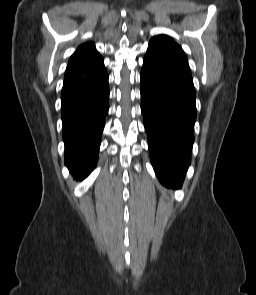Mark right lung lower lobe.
I'll return each instance as SVG.
<instances>
[{
	"instance_id": "98d812e1",
	"label": "right lung lower lobe",
	"mask_w": 256,
	"mask_h": 295,
	"mask_svg": "<svg viewBox=\"0 0 256 295\" xmlns=\"http://www.w3.org/2000/svg\"><path fill=\"white\" fill-rule=\"evenodd\" d=\"M108 99V74L102 57L66 69L61 92L65 164L79 180L96 166Z\"/></svg>"
}]
</instances>
